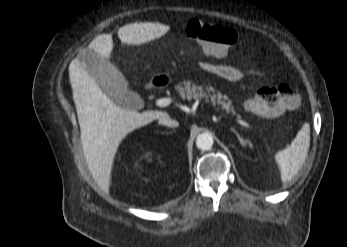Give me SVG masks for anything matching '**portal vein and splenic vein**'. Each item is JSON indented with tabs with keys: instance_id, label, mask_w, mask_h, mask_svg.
Segmentation results:
<instances>
[{
	"instance_id": "1",
	"label": "portal vein and splenic vein",
	"mask_w": 347,
	"mask_h": 247,
	"mask_svg": "<svg viewBox=\"0 0 347 247\" xmlns=\"http://www.w3.org/2000/svg\"><path fill=\"white\" fill-rule=\"evenodd\" d=\"M171 103H172L171 98H160L156 100V105L160 107H166L170 105ZM240 125L250 129L253 128L252 125H250L249 123L243 120L240 121Z\"/></svg>"
}]
</instances>
